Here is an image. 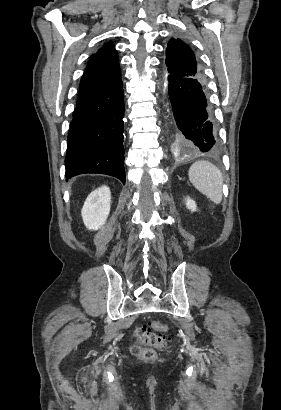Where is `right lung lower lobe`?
I'll return each mask as SVG.
<instances>
[{
    "label": "right lung lower lobe",
    "mask_w": 281,
    "mask_h": 410,
    "mask_svg": "<svg viewBox=\"0 0 281 410\" xmlns=\"http://www.w3.org/2000/svg\"><path fill=\"white\" fill-rule=\"evenodd\" d=\"M123 118L121 80L108 89L79 97L68 134L66 179L102 173L125 184Z\"/></svg>",
    "instance_id": "right-lung-lower-lobe-1"
}]
</instances>
